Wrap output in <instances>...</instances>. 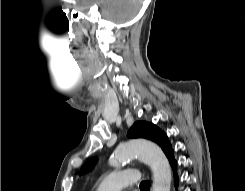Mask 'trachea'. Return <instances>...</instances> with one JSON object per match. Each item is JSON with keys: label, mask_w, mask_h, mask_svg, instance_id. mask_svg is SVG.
<instances>
[{"label": "trachea", "mask_w": 245, "mask_h": 191, "mask_svg": "<svg viewBox=\"0 0 245 191\" xmlns=\"http://www.w3.org/2000/svg\"><path fill=\"white\" fill-rule=\"evenodd\" d=\"M150 188V183L148 181H142L140 184L141 191H146Z\"/></svg>", "instance_id": "1"}]
</instances>
